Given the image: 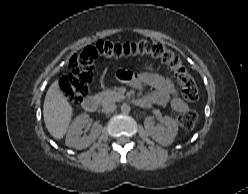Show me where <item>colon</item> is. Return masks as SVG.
Segmentation results:
<instances>
[{
  "instance_id": "colon-1",
  "label": "colon",
  "mask_w": 248,
  "mask_h": 194,
  "mask_svg": "<svg viewBox=\"0 0 248 194\" xmlns=\"http://www.w3.org/2000/svg\"><path fill=\"white\" fill-rule=\"evenodd\" d=\"M98 56L121 59L138 56H151L164 64L178 80L181 93L185 100L194 102L199 97L198 86L183 65L180 58L163 43L152 39H140L124 43L98 41L94 46H88L74 54L68 65L69 72L62 77L60 86L67 100L72 104L80 103L88 94L94 80V61ZM131 72L122 71L119 77L129 80ZM197 114L188 111L178 117L179 124L185 129L195 125Z\"/></svg>"
}]
</instances>
